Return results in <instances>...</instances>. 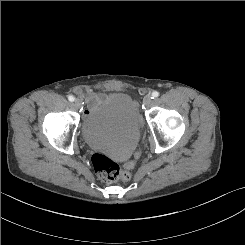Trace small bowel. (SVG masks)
<instances>
[{
  "label": "small bowel",
  "instance_id": "obj_1",
  "mask_svg": "<svg viewBox=\"0 0 245 245\" xmlns=\"http://www.w3.org/2000/svg\"><path fill=\"white\" fill-rule=\"evenodd\" d=\"M102 99V96L90 94L88 97L89 110H92Z\"/></svg>",
  "mask_w": 245,
  "mask_h": 245
}]
</instances>
